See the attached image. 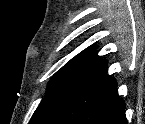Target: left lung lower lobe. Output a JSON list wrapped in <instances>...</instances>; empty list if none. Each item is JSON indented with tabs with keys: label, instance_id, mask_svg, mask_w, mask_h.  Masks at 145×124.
<instances>
[{
	"label": "left lung lower lobe",
	"instance_id": "left-lung-lower-lobe-1",
	"mask_svg": "<svg viewBox=\"0 0 145 124\" xmlns=\"http://www.w3.org/2000/svg\"><path fill=\"white\" fill-rule=\"evenodd\" d=\"M127 124L125 103L105 65L45 124Z\"/></svg>",
	"mask_w": 145,
	"mask_h": 124
}]
</instances>
